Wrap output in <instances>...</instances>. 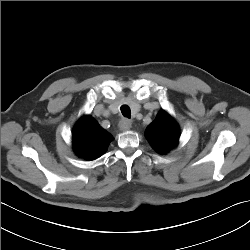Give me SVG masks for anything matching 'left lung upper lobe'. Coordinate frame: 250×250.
<instances>
[{"label":"left lung upper lobe","mask_w":250,"mask_h":250,"mask_svg":"<svg viewBox=\"0 0 250 250\" xmlns=\"http://www.w3.org/2000/svg\"><path fill=\"white\" fill-rule=\"evenodd\" d=\"M179 136V128L176 122L164 110L158 113L156 119L146 129L148 141L161 154H166L175 147Z\"/></svg>","instance_id":"1"}]
</instances>
